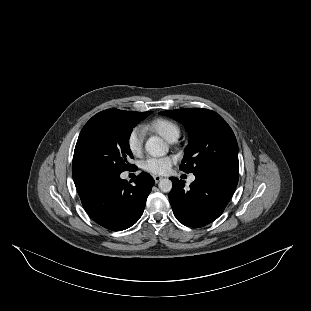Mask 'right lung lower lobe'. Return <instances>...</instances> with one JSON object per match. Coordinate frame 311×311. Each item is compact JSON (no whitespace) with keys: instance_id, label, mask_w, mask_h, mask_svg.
<instances>
[{"instance_id":"obj_1","label":"right lung lower lobe","mask_w":311,"mask_h":311,"mask_svg":"<svg viewBox=\"0 0 311 311\" xmlns=\"http://www.w3.org/2000/svg\"><path fill=\"white\" fill-rule=\"evenodd\" d=\"M74 182L89 216L112 231L125 230L139 220L155 183L145 172L140 173L135 185L113 174L87 175Z\"/></svg>"}]
</instances>
